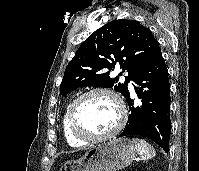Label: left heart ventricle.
<instances>
[{"instance_id":"obj_1","label":"left heart ventricle","mask_w":199,"mask_h":171,"mask_svg":"<svg viewBox=\"0 0 199 171\" xmlns=\"http://www.w3.org/2000/svg\"><path fill=\"white\" fill-rule=\"evenodd\" d=\"M119 120L115 101L104 94H94L85 98L78 109L79 128L89 135H103L111 131Z\"/></svg>"}]
</instances>
